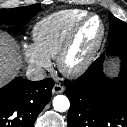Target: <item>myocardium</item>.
Returning a JSON list of instances; mask_svg holds the SVG:
<instances>
[{"mask_svg": "<svg viewBox=\"0 0 127 127\" xmlns=\"http://www.w3.org/2000/svg\"><path fill=\"white\" fill-rule=\"evenodd\" d=\"M91 18H97L99 20L101 25L100 34L97 40L95 41V43L93 44V46L91 47V49L89 50L87 56L79 64L70 66L68 64V58L75 44L77 35L81 30V28L83 27V25ZM105 33H106V27L104 21L99 15L94 13H89L85 15L83 18H81L70 30L69 34L67 35L65 41L63 42L56 56L57 66L60 72L63 73L65 76L72 77V78L82 75L94 61L104 41Z\"/></svg>", "mask_w": 127, "mask_h": 127, "instance_id": "1", "label": "myocardium"}]
</instances>
